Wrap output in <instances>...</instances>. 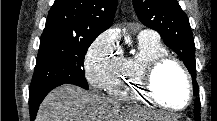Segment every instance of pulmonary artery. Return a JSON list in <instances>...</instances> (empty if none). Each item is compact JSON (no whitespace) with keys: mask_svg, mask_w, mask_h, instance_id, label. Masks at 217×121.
Wrapping results in <instances>:
<instances>
[{"mask_svg":"<svg viewBox=\"0 0 217 121\" xmlns=\"http://www.w3.org/2000/svg\"><path fill=\"white\" fill-rule=\"evenodd\" d=\"M138 38L140 39H150V40H158L159 37L156 32L150 29H143L139 32Z\"/></svg>","mask_w":217,"mask_h":121,"instance_id":"obj_1","label":"pulmonary artery"}]
</instances>
